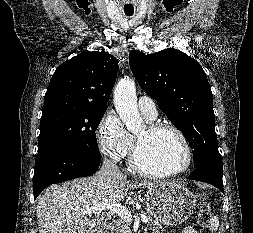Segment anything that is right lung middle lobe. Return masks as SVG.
<instances>
[{"label": "right lung middle lobe", "mask_w": 253, "mask_h": 233, "mask_svg": "<svg viewBox=\"0 0 253 233\" xmlns=\"http://www.w3.org/2000/svg\"><path fill=\"white\" fill-rule=\"evenodd\" d=\"M106 110L87 103L44 104L38 152L60 147L100 157L95 131Z\"/></svg>", "instance_id": "right-lung-middle-lobe-1"}]
</instances>
